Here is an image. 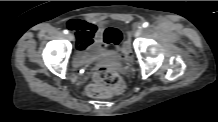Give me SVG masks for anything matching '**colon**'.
Listing matches in <instances>:
<instances>
[{
    "mask_svg": "<svg viewBox=\"0 0 218 122\" xmlns=\"http://www.w3.org/2000/svg\"><path fill=\"white\" fill-rule=\"evenodd\" d=\"M126 38V33L121 27H106L102 31L101 46L103 49L115 52L119 50ZM126 59L131 58V46L126 42L123 48ZM125 84L119 74L105 66H100L93 74V83L87 88V92L93 97H108L123 92Z\"/></svg>",
    "mask_w": 218,
    "mask_h": 122,
    "instance_id": "5ec220e1",
    "label": "colon"
}]
</instances>
